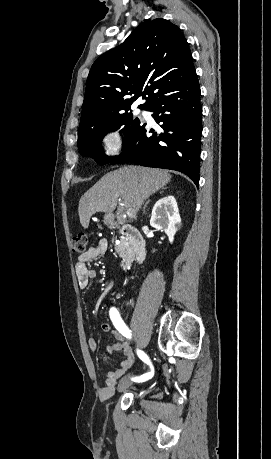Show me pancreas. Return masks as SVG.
Wrapping results in <instances>:
<instances>
[{"mask_svg":"<svg viewBox=\"0 0 271 459\" xmlns=\"http://www.w3.org/2000/svg\"><path fill=\"white\" fill-rule=\"evenodd\" d=\"M117 253H119L120 257H129L131 255V247H129L126 239H120L119 245L115 247Z\"/></svg>","mask_w":271,"mask_h":459,"instance_id":"1","label":"pancreas"}]
</instances>
